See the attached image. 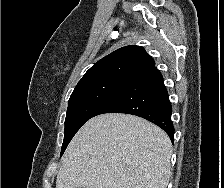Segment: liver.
Here are the masks:
<instances>
[{"instance_id": "1", "label": "liver", "mask_w": 224, "mask_h": 188, "mask_svg": "<svg viewBox=\"0 0 224 188\" xmlns=\"http://www.w3.org/2000/svg\"><path fill=\"white\" fill-rule=\"evenodd\" d=\"M172 145L158 126L134 115L91 118L68 145L56 188H166Z\"/></svg>"}]
</instances>
